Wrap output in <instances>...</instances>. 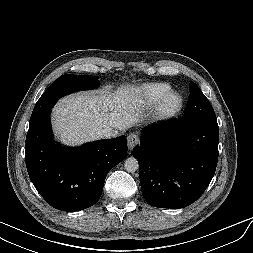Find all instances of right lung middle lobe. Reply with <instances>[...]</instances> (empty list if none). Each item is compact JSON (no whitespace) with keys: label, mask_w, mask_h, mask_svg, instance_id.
I'll list each match as a JSON object with an SVG mask.
<instances>
[{"label":"right lung middle lobe","mask_w":253,"mask_h":253,"mask_svg":"<svg viewBox=\"0 0 253 253\" xmlns=\"http://www.w3.org/2000/svg\"><path fill=\"white\" fill-rule=\"evenodd\" d=\"M99 86L98 77L89 75H62L55 80L37 101L30 120L50 110L59 98L69 93L95 89Z\"/></svg>","instance_id":"1"}]
</instances>
